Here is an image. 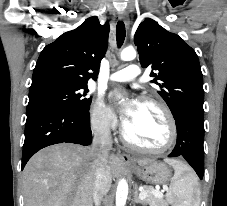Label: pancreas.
Masks as SVG:
<instances>
[{
	"label": "pancreas",
	"mask_w": 227,
	"mask_h": 206,
	"mask_svg": "<svg viewBox=\"0 0 227 206\" xmlns=\"http://www.w3.org/2000/svg\"><path fill=\"white\" fill-rule=\"evenodd\" d=\"M154 190L151 186H145L143 191L147 192V196L144 199L145 204H149L150 206H168L167 202L163 200L162 197L155 196L152 191Z\"/></svg>",
	"instance_id": "obj_1"
}]
</instances>
